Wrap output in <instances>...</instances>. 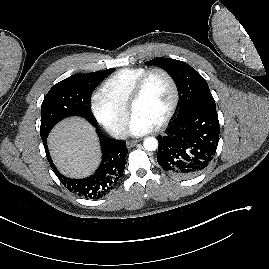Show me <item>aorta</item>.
Returning <instances> with one entry per match:
<instances>
[{"label":"aorta","mask_w":269,"mask_h":269,"mask_svg":"<svg viewBox=\"0 0 269 269\" xmlns=\"http://www.w3.org/2000/svg\"><path fill=\"white\" fill-rule=\"evenodd\" d=\"M143 146L147 151H155L158 148V141L155 137H147L143 141Z\"/></svg>","instance_id":"obj_1"}]
</instances>
